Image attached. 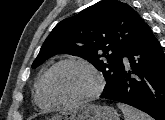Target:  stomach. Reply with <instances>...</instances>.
Instances as JSON below:
<instances>
[{"label":"stomach","mask_w":165,"mask_h":120,"mask_svg":"<svg viewBox=\"0 0 165 120\" xmlns=\"http://www.w3.org/2000/svg\"><path fill=\"white\" fill-rule=\"evenodd\" d=\"M51 120H119L117 111L109 106L79 103L57 113Z\"/></svg>","instance_id":"1"}]
</instances>
